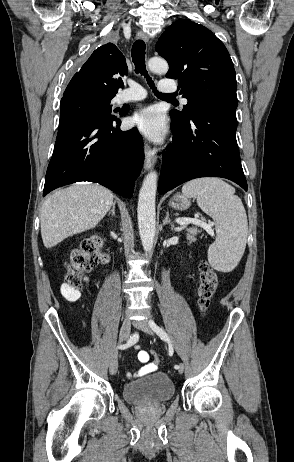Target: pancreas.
<instances>
[{
    "instance_id": "obj_1",
    "label": "pancreas",
    "mask_w": 294,
    "mask_h": 462,
    "mask_svg": "<svg viewBox=\"0 0 294 462\" xmlns=\"http://www.w3.org/2000/svg\"><path fill=\"white\" fill-rule=\"evenodd\" d=\"M186 231H187L186 233L187 239L191 242H195L197 234L200 233L197 227L186 228Z\"/></svg>"
}]
</instances>
